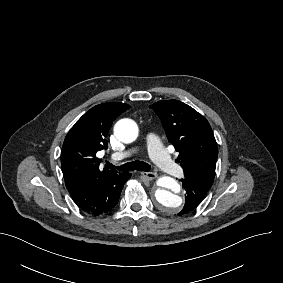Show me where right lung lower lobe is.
<instances>
[{
	"instance_id": "98d812e1",
	"label": "right lung lower lobe",
	"mask_w": 283,
	"mask_h": 283,
	"mask_svg": "<svg viewBox=\"0 0 283 283\" xmlns=\"http://www.w3.org/2000/svg\"><path fill=\"white\" fill-rule=\"evenodd\" d=\"M131 177L122 172L102 178L85 179L68 187V191L81 211L99 216L110 212L118 203L123 185Z\"/></svg>"
}]
</instances>
